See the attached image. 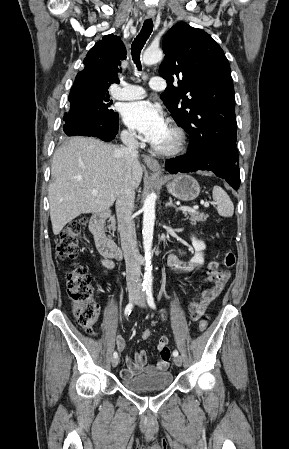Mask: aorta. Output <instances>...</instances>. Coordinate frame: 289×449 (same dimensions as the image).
<instances>
[{
    "label": "aorta",
    "instance_id": "aorta-1",
    "mask_svg": "<svg viewBox=\"0 0 289 449\" xmlns=\"http://www.w3.org/2000/svg\"><path fill=\"white\" fill-rule=\"evenodd\" d=\"M163 59V52L160 49L148 48L143 54V63L152 65L160 62ZM155 202L156 194L151 193L147 196L143 205V247L145 252V273L143 286L151 288L152 286V265H151V250L153 240V230L155 222Z\"/></svg>",
    "mask_w": 289,
    "mask_h": 449
}]
</instances>
